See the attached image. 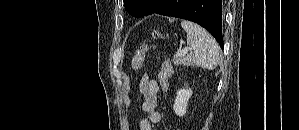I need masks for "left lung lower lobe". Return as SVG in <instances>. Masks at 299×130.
<instances>
[{"label": "left lung lower lobe", "mask_w": 299, "mask_h": 130, "mask_svg": "<svg viewBox=\"0 0 299 130\" xmlns=\"http://www.w3.org/2000/svg\"><path fill=\"white\" fill-rule=\"evenodd\" d=\"M153 12L201 25L213 35L223 49L222 0H152L144 15Z\"/></svg>", "instance_id": "1"}]
</instances>
